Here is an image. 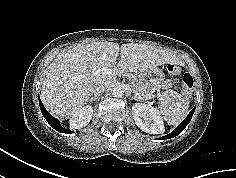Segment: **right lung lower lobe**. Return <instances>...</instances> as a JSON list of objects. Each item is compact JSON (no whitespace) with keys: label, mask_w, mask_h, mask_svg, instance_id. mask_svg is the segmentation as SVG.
<instances>
[{"label":"right lung lower lobe","mask_w":236,"mask_h":178,"mask_svg":"<svg viewBox=\"0 0 236 178\" xmlns=\"http://www.w3.org/2000/svg\"><path fill=\"white\" fill-rule=\"evenodd\" d=\"M39 105H40V109H41V112L43 114V116L45 117V119L47 120V122L55 129L57 130L58 132H61V133H72L70 130H67V129H64L60 126V123L59 121L54 118L53 116H51L47 110L45 109V107L43 106L40 98H39Z\"/></svg>","instance_id":"98d812e1"}]
</instances>
